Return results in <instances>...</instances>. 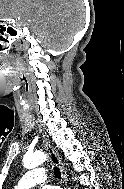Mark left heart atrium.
<instances>
[{
	"label": "left heart atrium",
	"mask_w": 124,
	"mask_h": 189,
	"mask_svg": "<svg viewBox=\"0 0 124 189\" xmlns=\"http://www.w3.org/2000/svg\"><path fill=\"white\" fill-rule=\"evenodd\" d=\"M42 189H58V188H56V187H54V186H45V187H43Z\"/></svg>",
	"instance_id": "1"
}]
</instances>
